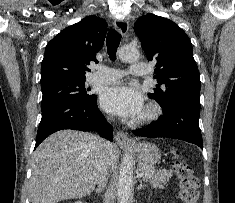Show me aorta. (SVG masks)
I'll use <instances>...</instances> for the list:
<instances>
[{
  "instance_id": "1",
  "label": "aorta",
  "mask_w": 235,
  "mask_h": 203,
  "mask_svg": "<svg viewBox=\"0 0 235 203\" xmlns=\"http://www.w3.org/2000/svg\"><path fill=\"white\" fill-rule=\"evenodd\" d=\"M119 58L124 62H136L140 58L136 48L124 46L118 50ZM133 163L129 157H124L119 170L117 181L118 203H128L132 190Z\"/></svg>"
}]
</instances>
